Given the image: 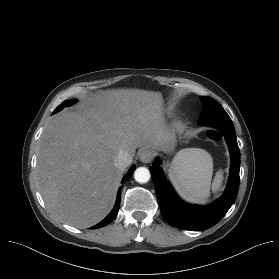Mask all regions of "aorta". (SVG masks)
Instances as JSON below:
<instances>
[{
	"label": "aorta",
	"mask_w": 279,
	"mask_h": 279,
	"mask_svg": "<svg viewBox=\"0 0 279 279\" xmlns=\"http://www.w3.org/2000/svg\"><path fill=\"white\" fill-rule=\"evenodd\" d=\"M150 177V171L146 167H139L134 172V179L138 183H146L149 181Z\"/></svg>",
	"instance_id": "aorta-1"
}]
</instances>
